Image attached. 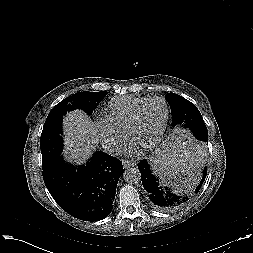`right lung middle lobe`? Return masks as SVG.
Wrapping results in <instances>:
<instances>
[{
  "label": "right lung middle lobe",
  "mask_w": 253,
  "mask_h": 253,
  "mask_svg": "<svg viewBox=\"0 0 253 253\" xmlns=\"http://www.w3.org/2000/svg\"><path fill=\"white\" fill-rule=\"evenodd\" d=\"M107 94L108 92L106 91L75 93L53 108L45 121L41 134L42 164L49 165L54 160L62 157L63 138L61 125L63 116L74 109H82L90 115Z\"/></svg>",
  "instance_id": "dd1d6c3e"
}]
</instances>
